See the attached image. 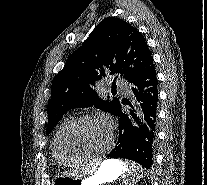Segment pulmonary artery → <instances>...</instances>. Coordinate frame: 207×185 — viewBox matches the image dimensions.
Listing matches in <instances>:
<instances>
[{"instance_id":"pulmonary-artery-1","label":"pulmonary artery","mask_w":207,"mask_h":185,"mask_svg":"<svg viewBox=\"0 0 207 185\" xmlns=\"http://www.w3.org/2000/svg\"><path fill=\"white\" fill-rule=\"evenodd\" d=\"M120 89L126 94L130 93V88L129 87H121Z\"/></svg>"}]
</instances>
